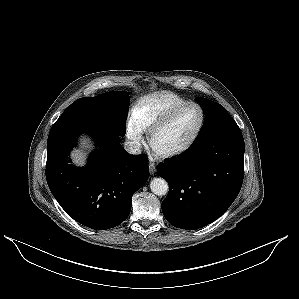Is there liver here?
<instances>
[{
    "label": "liver",
    "instance_id": "6515ba94",
    "mask_svg": "<svg viewBox=\"0 0 299 299\" xmlns=\"http://www.w3.org/2000/svg\"><path fill=\"white\" fill-rule=\"evenodd\" d=\"M83 144H86V140L83 141ZM71 157L73 162L78 165L82 166L85 163V155L80 150H75L71 153Z\"/></svg>",
    "mask_w": 299,
    "mask_h": 299
}]
</instances>
